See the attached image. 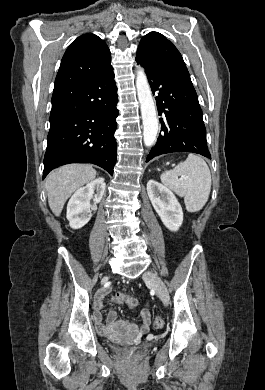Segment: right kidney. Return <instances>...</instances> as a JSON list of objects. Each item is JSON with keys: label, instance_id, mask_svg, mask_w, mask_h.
Here are the masks:
<instances>
[{"label": "right kidney", "instance_id": "obj_1", "mask_svg": "<svg viewBox=\"0 0 265 390\" xmlns=\"http://www.w3.org/2000/svg\"><path fill=\"white\" fill-rule=\"evenodd\" d=\"M104 178H98L88 183L85 187L78 189L70 198L67 205L66 217L72 229H80L86 225L91 218V204L99 203L105 191Z\"/></svg>", "mask_w": 265, "mask_h": 390}]
</instances>
